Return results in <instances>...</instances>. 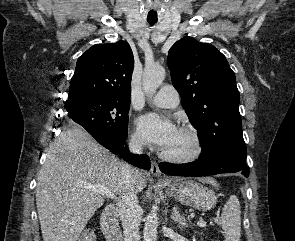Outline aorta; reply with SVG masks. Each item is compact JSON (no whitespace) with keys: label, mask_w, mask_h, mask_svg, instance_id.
Returning a JSON list of instances; mask_svg holds the SVG:
<instances>
[{"label":"aorta","mask_w":295,"mask_h":241,"mask_svg":"<svg viewBox=\"0 0 295 241\" xmlns=\"http://www.w3.org/2000/svg\"><path fill=\"white\" fill-rule=\"evenodd\" d=\"M165 69L161 65L147 66L143 72L142 86L143 90L148 95H153L158 87L165 79ZM157 228H158V216L157 211L152 210L145 222L143 237L144 241H156L157 240Z\"/></svg>","instance_id":"1"}]
</instances>
